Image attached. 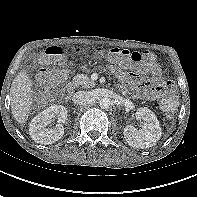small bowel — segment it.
<instances>
[{"label": "small bowel", "mask_w": 197, "mask_h": 197, "mask_svg": "<svg viewBox=\"0 0 197 197\" xmlns=\"http://www.w3.org/2000/svg\"><path fill=\"white\" fill-rule=\"evenodd\" d=\"M127 63L120 61V67L114 68L118 78L124 88H129L133 95L139 99H159L174 91L171 82L164 80L160 65L154 64L150 68L151 77L144 79L143 76L135 71H125Z\"/></svg>", "instance_id": "obj_1"}]
</instances>
